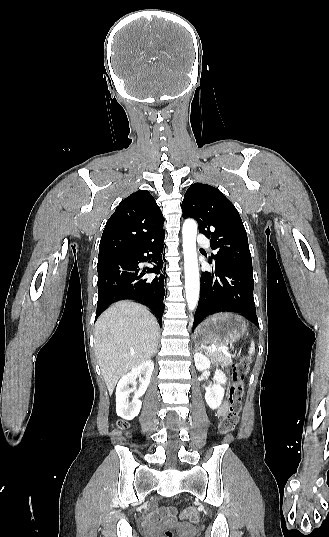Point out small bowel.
Here are the masks:
<instances>
[{"label":"small bowel","mask_w":329,"mask_h":537,"mask_svg":"<svg viewBox=\"0 0 329 537\" xmlns=\"http://www.w3.org/2000/svg\"><path fill=\"white\" fill-rule=\"evenodd\" d=\"M228 404L223 402L218 410L217 415L223 418L227 412ZM148 518L151 520H163L168 523H173L175 521V509L173 507H162L157 509L154 504H151L148 512Z\"/></svg>","instance_id":"c3829d8e"}]
</instances>
